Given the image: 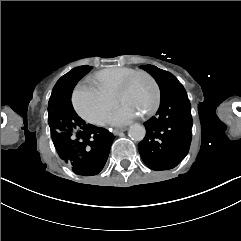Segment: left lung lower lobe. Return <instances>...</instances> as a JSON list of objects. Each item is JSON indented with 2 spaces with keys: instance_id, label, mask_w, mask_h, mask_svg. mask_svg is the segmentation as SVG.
Wrapping results in <instances>:
<instances>
[{
  "instance_id": "left-lung-lower-lobe-1",
  "label": "left lung lower lobe",
  "mask_w": 241,
  "mask_h": 241,
  "mask_svg": "<svg viewBox=\"0 0 241 241\" xmlns=\"http://www.w3.org/2000/svg\"><path fill=\"white\" fill-rule=\"evenodd\" d=\"M191 105L184 88L161 97L156 116L144 123L146 137L138 145L144 163L153 170H167L187 155L191 143Z\"/></svg>"
}]
</instances>
